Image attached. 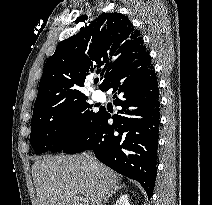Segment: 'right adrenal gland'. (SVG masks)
I'll return each mask as SVG.
<instances>
[{
    "label": "right adrenal gland",
    "mask_w": 212,
    "mask_h": 205,
    "mask_svg": "<svg viewBox=\"0 0 212 205\" xmlns=\"http://www.w3.org/2000/svg\"><path fill=\"white\" fill-rule=\"evenodd\" d=\"M124 185H120L117 188H114L113 190H111L110 192H108L107 197L105 198L104 204L106 205V203L108 202L109 198L116 193V191H118V189L122 188Z\"/></svg>",
    "instance_id": "right-adrenal-gland-1"
}]
</instances>
